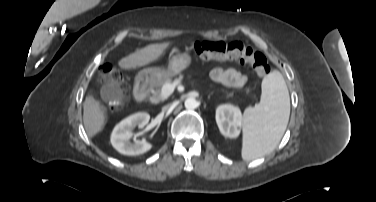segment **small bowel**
Wrapping results in <instances>:
<instances>
[{
    "label": "small bowel",
    "mask_w": 376,
    "mask_h": 202,
    "mask_svg": "<svg viewBox=\"0 0 376 202\" xmlns=\"http://www.w3.org/2000/svg\"><path fill=\"white\" fill-rule=\"evenodd\" d=\"M211 78L218 83L230 87L242 86L246 81V75L235 69L215 68L211 71Z\"/></svg>",
    "instance_id": "obj_1"
}]
</instances>
